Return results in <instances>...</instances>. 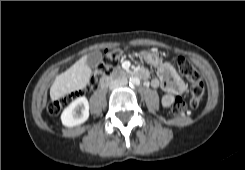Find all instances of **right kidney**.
<instances>
[{
    "mask_svg": "<svg viewBox=\"0 0 245 170\" xmlns=\"http://www.w3.org/2000/svg\"><path fill=\"white\" fill-rule=\"evenodd\" d=\"M89 118V103L86 97H79L67 106L62 114L61 121L66 127H74L84 123Z\"/></svg>",
    "mask_w": 245,
    "mask_h": 170,
    "instance_id": "1",
    "label": "right kidney"
}]
</instances>
